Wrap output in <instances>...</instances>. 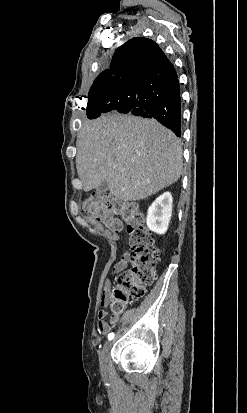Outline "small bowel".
I'll list each match as a JSON object with an SVG mask.
<instances>
[{
  "label": "small bowel",
  "mask_w": 247,
  "mask_h": 413,
  "mask_svg": "<svg viewBox=\"0 0 247 413\" xmlns=\"http://www.w3.org/2000/svg\"><path fill=\"white\" fill-rule=\"evenodd\" d=\"M131 260V256L128 252L122 254L120 260L115 264L113 271L114 273H119L124 271ZM111 299V282L108 280L105 283L102 295H101V304L106 306ZM107 316V312L102 310L98 313V322H97V329L101 335H107L110 333L111 328L117 325L120 321L119 315L113 314L110 316L109 321H106L105 318Z\"/></svg>",
  "instance_id": "obj_1"
}]
</instances>
